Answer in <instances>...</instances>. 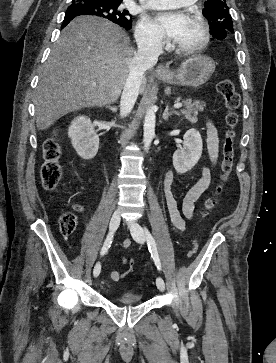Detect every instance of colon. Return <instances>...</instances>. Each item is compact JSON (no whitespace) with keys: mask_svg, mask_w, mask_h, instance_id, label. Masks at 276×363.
Wrapping results in <instances>:
<instances>
[{"mask_svg":"<svg viewBox=\"0 0 276 363\" xmlns=\"http://www.w3.org/2000/svg\"><path fill=\"white\" fill-rule=\"evenodd\" d=\"M218 93L224 99V104L227 109L225 117L227 131L224 136L221 150V183L215 187L214 193L209 197L204 204L203 213H207L212 209L221 196L223 191V182H225L233 169L235 159L234 148V131L233 128L238 122L237 109L240 105V95L235 88V84L231 79H223L217 85ZM61 156V148L58 142L53 139H47L44 143V163L41 169V178L43 187L47 190H54L62 179V167L59 163ZM60 231L64 236L71 235L77 226V217L72 212H64L59 219ZM196 244L188 251V256L191 257L196 253ZM133 259L128 261L129 268L134 266Z\"/></svg>","mask_w":276,"mask_h":363,"instance_id":"1","label":"colon"}]
</instances>
